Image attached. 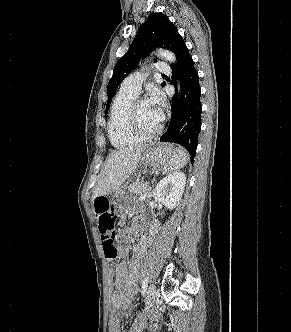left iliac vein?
Segmentation results:
<instances>
[{"label": "left iliac vein", "mask_w": 291, "mask_h": 332, "mask_svg": "<svg viewBox=\"0 0 291 332\" xmlns=\"http://www.w3.org/2000/svg\"><path fill=\"white\" fill-rule=\"evenodd\" d=\"M155 298H156V287L154 284H151L148 287L147 293H146V303H147L148 308H151L154 305Z\"/></svg>", "instance_id": "left-iliac-vein-1"}]
</instances>
